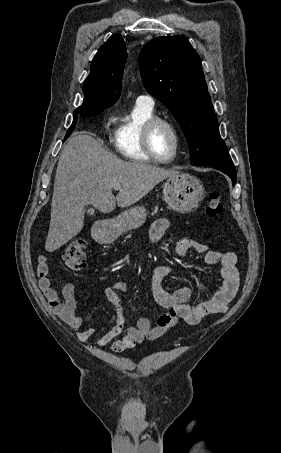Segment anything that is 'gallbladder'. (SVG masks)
Segmentation results:
<instances>
[{
    "label": "gallbladder",
    "mask_w": 281,
    "mask_h": 453,
    "mask_svg": "<svg viewBox=\"0 0 281 453\" xmlns=\"http://www.w3.org/2000/svg\"><path fill=\"white\" fill-rule=\"evenodd\" d=\"M88 214H93L94 212V208H89V210H87Z\"/></svg>",
    "instance_id": "obj_1"
}]
</instances>
